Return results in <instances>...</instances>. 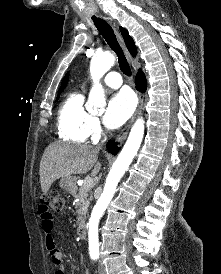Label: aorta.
I'll return each instance as SVG.
<instances>
[{"label": "aorta", "mask_w": 221, "mask_h": 274, "mask_svg": "<svg viewBox=\"0 0 221 274\" xmlns=\"http://www.w3.org/2000/svg\"><path fill=\"white\" fill-rule=\"evenodd\" d=\"M115 57L112 54H104L98 57H93L90 63V74L93 79L94 85L90 91L88 104L90 107L97 105L104 106L105 98L102 85L99 83L101 77L114 65ZM144 135V120L142 117L138 118L131 128L129 137L118 155L115 163L113 164L104 190L93 208L89 220V251L90 254L99 253V239H98V225L105 209L110 203L113 195L115 194L116 187L124 175L125 171L131 164L134 156L136 155Z\"/></svg>", "instance_id": "aorta-1"}]
</instances>
